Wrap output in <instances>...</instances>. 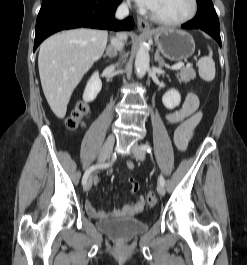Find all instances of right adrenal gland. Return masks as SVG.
Instances as JSON below:
<instances>
[{"label": "right adrenal gland", "mask_w": 247, "mask_h": 265, "mask_svg": "<svg viewBox=\"0 0 247 265\" xmlns=\"http://www.w3.org/2000/svg\"><path fill=\"white\" fill-rule=\"evenodd\" d=\"M116 56V51L111 47L108 46L106 48V53L103 55V57H109L110 59L114 58Z\"/></svg>", "instance_id": "1"}]
</instances>
